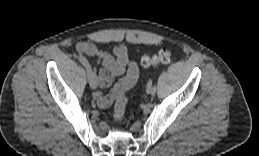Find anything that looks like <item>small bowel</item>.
I'll return each mask as SVG.
<instances>
[{"instance_id": "c3829d8e", "label": "small bowel", "mask_w": 259, "mask_h": 156, "mask_svg": "<svg viewBox=\"0 0 259 156\" xmlns=\"http://www.w3.org/2000/svg\"><path fill=\"white\" fill-rule=\"evenodd\" d=\"M76 52L94 57L102 65L99 70L100 89L109 87L114 77L126 72V76L115 84L109 95H103L100 89L94 93V98L101 108L109 107L120 92H125L137 81L138 67L135 62L129 60L127 48L124 45L116 46L112 54L99 49L94 43L79 42L76 45Z\"/></svg>"}]
</instances>
